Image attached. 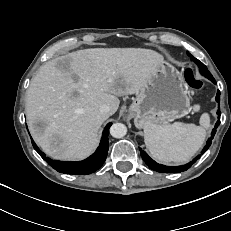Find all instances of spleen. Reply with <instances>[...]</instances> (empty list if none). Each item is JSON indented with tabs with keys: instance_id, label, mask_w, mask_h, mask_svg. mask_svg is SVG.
<instances>
[{
	"instance_id": "spleen-1",
	"label": "spleen",
	"mask_w": 231,
	"mask_h": 231,
	"mask_svg": "<svg viewBox=\"0 0 231 231\" xmlns=\"http://www.w3.org/2000/svg\"><path fill=\"white\" fill-rule=\"evenodd\" d=\"M209 126L208 113L201 115L200 126L181 122L149 124L144 128V141L156 160L163 163H185L203 145Z\"/></svg>"
}]
</instances>
